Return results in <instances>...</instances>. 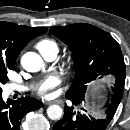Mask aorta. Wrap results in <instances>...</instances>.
<instances>
[{
  "mask_svg": "<svg viewBox=\"0 0 130 130\" xmlns=\"http://www.w3.org/2000/svg\"><path fill=\"white\" fill-rule=\"evenodd\" d=\"M21 65L28 72H38L45 68L42 58L35 52L25 53L21 58ZM47 115L51 120H58L63 115V109L59 105H50Z\"/></svg>",
  "mask_w": 130,
  "mask_h": 130,
  "instance_id": "aorta-1",
  "label": "aorta"
}]
</instances>
